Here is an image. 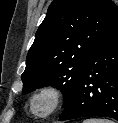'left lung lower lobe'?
I'll list each match as a JSON object with an SVG mask.
<instances>
[{
  "label": "left lung lower lobe",
  "instance_id": "left-lung-lower-lobe-1",
  "mask_svg": "<svg viewBox=\"0 0 118 123\" xmlns=\"http://www.w3.org/2000/svg\"><path fill=\"white\" fill-rule=\"evenodd\" d=\"M86 116L118 120V20L92 50L59 121Z\"/></svg>",
  "mask_w": 118,
  "mask_h": 123
}]
</instances>
